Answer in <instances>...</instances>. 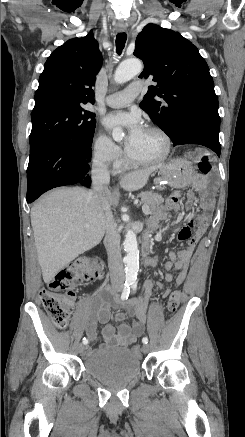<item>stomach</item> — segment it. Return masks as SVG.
I'll use <instances>...</instances> for the list:
<instances>
[{"label": "stomach", "mask_w": 245, "mask_h": 437, "mask_svg": "<svg viewBox=\"0 0 245 437\" xmlns=\"http://www.w3.org/2000/svg\"><path fill=\"white\" fill-rule=\"evenodd\" d=\"M193 173V167L189 161L177 158L160 168L154 183L160 190L166 186L184 188L191 184Z\"/></svg>", "instance_id": "stomach-1"}]
</instances>
